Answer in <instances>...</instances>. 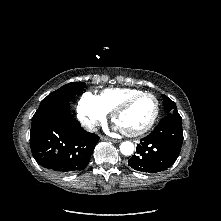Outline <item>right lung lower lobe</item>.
I'll use <instances>...</instances> for the list:
<instances>
[{"mask_svg": "<svg viewBox=\"0 0 221 221\" xmlns=\"http://www.w3.org/2000/svg\"><path fill=\"white\" fill-rule=\"evenodd\" d=\"M99 137L70 117L69 103L42 111L32 118L30 146L37 163L58 173L83 170Z\"/></svg>", "mask_w": 221, "mask_h": 221, "instance_id": "98d812e1", "label": "right lung lower lobe"}]
</instances>
